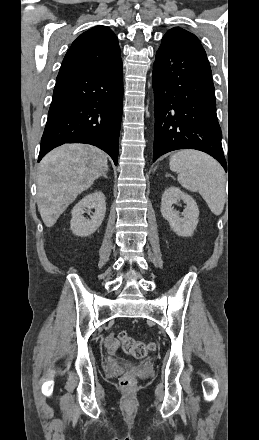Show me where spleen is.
Returning <instances> with one entry per match:
<instances>
[{"label": "spleen", "instance_id": "obj_1", "mask_svg": "<svg viewBox=\"0 0 259 440\" xmlns=\"http://www.w3.org/2000/svg\"><path fill=\"white\" fill-rule=\"evenodd\" d=\"M169 166L178 173V181L184 188L199 192L215 215L222 213L226 201V176L215 159L186 149L173 154Z\"/></svg>", "mask_w": 259, "mask_h": 440}]
</instances>
